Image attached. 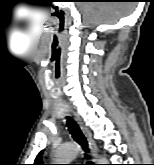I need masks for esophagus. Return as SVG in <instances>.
Returning <instances> with one entry per match:
<instances>
[{"label": "esophagus", "instance_id": "34e87169", "mask_svg": "<svg viewBox=\"0 0 154 165\" xmlns=\"http://www.w3.org/2000/svg\"><path fill=\"white\" fill-rule=\"evenodd\" d=\"M74 115H75V119H76L77 123L80 126V129H81L83 135L85 136V138H86V140H87V142L89 144V147H90V150H91V154H92V156L94 158L93 160H96L98 148H97L95 140L92 137V133L90 132L88 127H86V125L83 123L81 118L77 114H74Z\"/></svg>", "mask_w": 154, "mask_h": 165}]
</instances>
